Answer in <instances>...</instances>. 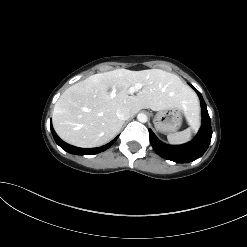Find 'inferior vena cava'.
<instances>
[{
  "instance_id": "obj_1",
  "label": "inferior vena cava",
  "mask_w": 247,
  "mask_h": 247,
  "mask_svg": "<svg viewBox=\"0 0 247 247\" xmlns=\"http://www.w3.org/2000/svg\"><path fill=\"white\" fill-rule=\"evenodd\" d=\"M116 115L120 120L125 121L130 118L131 112L128 107L122 106L117 109Z\"/></svg>"
}]
</instances>
